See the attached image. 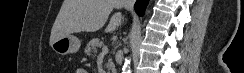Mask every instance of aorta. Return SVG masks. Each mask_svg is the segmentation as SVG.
<instances>
[{"label": "aorta", "instance_id": "1", "mask_svg": "<svg viewBox=\"0 0 244 73\" xmlns=\"http://www.w3.org/2000/svg\"><path fill=\"white\" fill-rule=\"evenodd\" d=\"M123 73H130V61L126 60L123 68H122Z\"/></svg>", "mask_w": 244, "mask_h": 73}]
</instances>
